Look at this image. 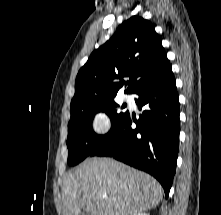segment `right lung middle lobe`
I'll list each match as a JSON object with an SVG mask.
<instances>
[{"mask_svg":"<svg viewBox=\"0 0 221 215\" xmlns=\"http://www.w3.org/2000/svg\"><path fill=\"white\" fill-rule=\"evenodd\" d=\"M124 106H122L123 108ZM68 123V164L76 165L101 145L117 128L128 112H121L114 99L95 103L71 105ZM105 112L111 119L112 127L105 135H97L92 129L94 115Z\"/></svg>","mask_w":221,"mask_h":215,"instance_id":"obj_1","label":"right lung middle lobe"}]
</instances>
